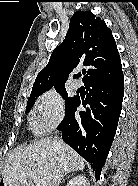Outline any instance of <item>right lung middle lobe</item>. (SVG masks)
Wrapping results in <instances>:
<instances>
[{"instance_id":"dd1d6c3e","label":"right lung middle lobe","mask_w":138,"mask_h":186,"mask_svg":"<svg viewBox=\"0 0 138 186\" xmlns=\"http://www.w3.org/2000/svg\"><path fill=\"white\" fill-rule=\"evenodd\" d=\"M55 89L65 99V110H67L73 104V102H74V100H75L76 97L69 98L68 95H67L65 86H63V87H57ZM44 92L34 93V94H31L30 95V97L28 99V102H27V106H26V112H29L30 111V109L32 108V105H33L35 99L38 96H40L41 94H43Z\"/></svg>"}]
</instances>
